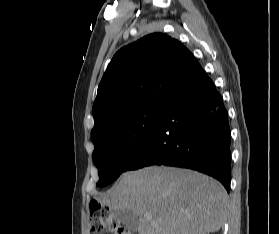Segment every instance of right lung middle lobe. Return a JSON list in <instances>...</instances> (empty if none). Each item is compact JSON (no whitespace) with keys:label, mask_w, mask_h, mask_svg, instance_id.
Segmentation results:
<instances>
[{"label":"right lung middle lobe","mask_w":279,"mask_h":234,"mask_svg":"<svg viewBox=\"0 0 279 234\" xmlns=\"http://www.w3.org/2000/svg\"><path fill=\"white\" fill-rule=\"evenodd\" d=\"M165 107H148L110 121L93 140V160L99 170L98 187L113 182L125 171L158 123Z\"/></svg>","instance_id":"right-lung-middle-lobe-1"}]
</instances>
